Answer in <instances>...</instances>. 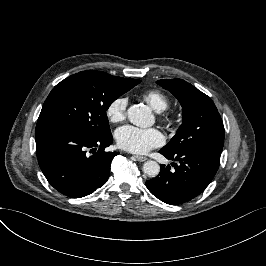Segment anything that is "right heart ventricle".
<instances>
[{"instance_id":"1","label":"right heart ventricle","mask_w":266,"mask_h":266,"mask_svg":"<svg viewBox=\"0 0 266 266\" xmlns=\"http://www.w3.org/2000/svg\"><path fill=\"white\" fill-rule=\"evenodd\" d=\"M142 98L156 111L166 110L169 106L168 96L159 89H149L142 94Z\"/></svg>"}]
</instances>
